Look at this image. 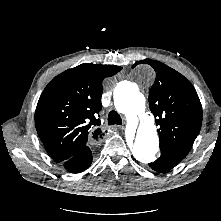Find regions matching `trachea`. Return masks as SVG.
<instances>
[{
    "label": "trachea",
    "instance_id": "trachea-1",
    "mask_svg": "<svg viewBox=\"0 0 221 221\" xmlns=\"http://www.w3.org/2000/svg\"><path fill=\"white\" fill-rule=\"evenodd\" d=\"M115 124L121 125L122 119L116 111L112 110L108 114V125H115Z\"/></svg>",
    "mask_w": 221,
    "mask_h": 221
}]
</instances>
